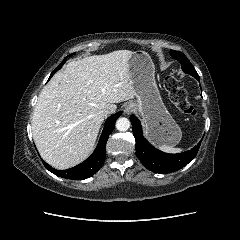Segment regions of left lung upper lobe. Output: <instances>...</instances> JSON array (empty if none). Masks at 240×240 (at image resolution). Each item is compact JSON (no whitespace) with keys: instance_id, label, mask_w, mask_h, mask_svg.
Segmentation results:
<instances>
[{"instance_id":"5c2ea615","label":"left lung upper lobe","mask_w":240,"mask_h":240,"mask_svg":"<svg viewBox=\"0 0 240 240\" xmlns=\"http://www.w3.org/2000/svg\"><path fill=\"white\" fill-rule=\"evenodd\" d=\"M170 54L181 63L182 70L185 73L190 74L193 77L198 75L191 62L182 52L170 50Z\"/></svg>"}]
</instances>
